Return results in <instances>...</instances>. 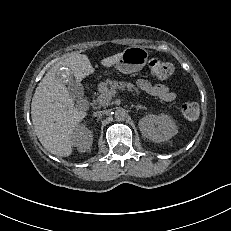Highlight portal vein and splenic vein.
<instances>
[{
  "instance_id": "1",
  "label": "portal vein and splenic vein",
  "mask_w": 231,
  "mask_h": 231,
  "mask_svg": "<svg viewBox=\"0 0 231 231\" xmlns=\"http://www.w3.org/2000/svg\"><path fill=\"white\" fill-rule=\"evenodd\" d=\"M115 94H116V91H115V90L109 92V96H113V95H115ZM101 101H102V100H101Z\"/></svg>"
}]
</instances>
